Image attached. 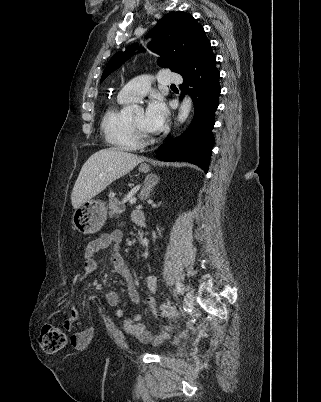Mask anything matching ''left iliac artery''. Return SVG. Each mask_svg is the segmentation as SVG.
Returning a JSON list of instances; mask_svg holds the SVG:
<instances>
[{"instance_id": "1", "label": "left iliac artery", "mask_w": 321, "mask_h": 402, "mask_svg": "<svg viewBox=\"0 0 321 402\" xmlns=\"http://www.w3.org/2000/svg\"><path fill=\"white\" fill-rule=\"evenodd\" d=\"M176 289H177L178 293H180V294L184 293V286H183V284L181 282L176 283Z\"/></svg>"}]
</instances>
